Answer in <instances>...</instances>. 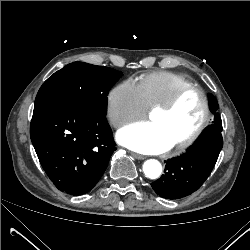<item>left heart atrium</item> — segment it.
<instances>
[{
  "label": "left heart atrium",
  "mask_w": 250,
  "mask_h": 250,
  "mask_svg": "<svg viewBox=\"0 0 250 250\" xmlns=\"http://www.w3.org/2000/svg\"><path fill=\"white\" fill-rule=\"evenodd\" d=\"M122 145L147 154H158L170 149L174 144L154 123H134L117 133Z\"/></svg>",
  "instance_id": "obj_1"
}]
</instances>
